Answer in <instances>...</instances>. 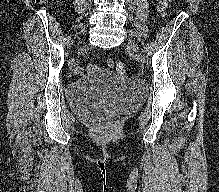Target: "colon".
<instances>
[{
	"mask_svg": "<svg viewBox=\"0 0 219 192\" xmlns=\"http://www.w3.org/2000/svg\"><path fill=\"white\" fill-rule=\"evenodd\" d=\"M46 0H35V2L37 3H44ZM175 0H161L160 2V11L161 12H166V10L172 5V3ZM108 64L113 65V61L109 60ZM115 71L120 74L123 75L126 73V64L124 62H117L114 65Z\"/></svg>",
	"mask_w": 219,
	"mask_h": 192,
	"instance_id": "obj_1",
	"label": "colon"
}]
</instances>
